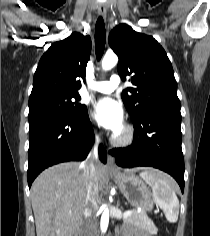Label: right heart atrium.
<instances>
[{
  "label": "right heart atrium",
  "instance_id": "obj_1",
  "mask_svg": "<svg viewBox=\"0 0 210 236\" xmlns=\"http://www.w3.org/2000/svg\"><path fill=\"white\" fill-rule=\"evenodd\" d=\"M93 132L95 135H98L99 133V126L97 124H93Z\"/></svg>",
  "mask_w": 210,
  "mask_h": 236
}]
</instances>
